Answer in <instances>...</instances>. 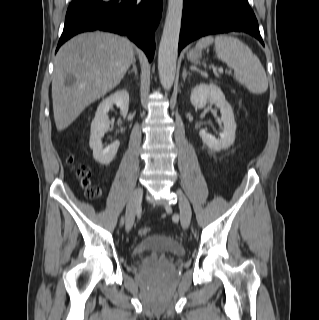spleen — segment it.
Returning <instances> with one entry per match:
<instances>
[{
	"label": "spleen",
	"mask_w": 319,
	"mask_h": 320,
	"mask_svg": "<svg viewBox=\"0 0 319 320\" xmlns=\"http://www.w3.org/2000/svg\"><path fill=\"white\" fill-rule=\"evenodd\" d=\"M215 45L216 57L234 70L236 81L244 85L251 93L262 94L268 89V79L259 58L241 40L229 35H217L215 38H201L196 49Z\"/></svg>",
	"instance_id": "1"
}]
</instances>
